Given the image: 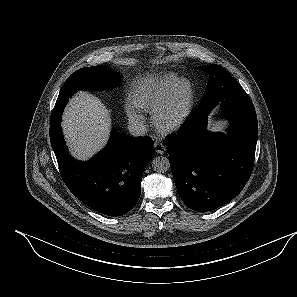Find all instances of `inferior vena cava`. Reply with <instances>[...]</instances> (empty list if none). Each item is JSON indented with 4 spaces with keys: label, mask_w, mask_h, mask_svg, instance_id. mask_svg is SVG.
<instances>
[{
    "label": "inferior vena cava",
    "mask_w": 297,
    "mask_h": 297,
    "mask_svg": "<svg viewBox=\"0 0 297 297\" xmlns=\"http://www.w3.org/2000/svg\"><path fill=\"white\" fill-rule=\"evenodd\" d=\"M128 130L132 136L139 137L146 133V125L138 120L129 122Z\"/></svg>",
    "instance_id": "1"
}]
</instances>
